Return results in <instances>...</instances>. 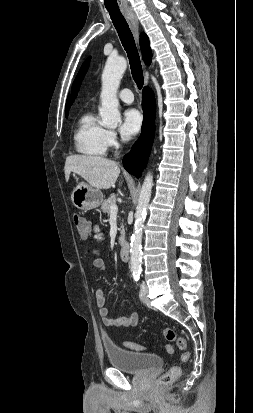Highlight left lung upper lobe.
I'll list each match as a JSON object with an SVG mask.
<instances>
[{
	"label": "left lung upper lobe",
	"mask_w": 253,
	"mask_h": 413,
	"mask_svg": "<svg viewBox=\"0 0 253 413\" xmlns=\"http://www.w3.org/2000/svg\"><path fill=\"white\" fill-rule=\"evenodd\" d=\"M88 65H89V61L86 60V61L83 63V65H82V67H81V69H80V71H79V73H78V75H77V77H76V79H75V81H74L73 88H72V96H73V99H74V98L76 97V95H77V92H78V90H79V88H80V85H81V82H82V80H83V77H84V75H85V73H86V71H87V69H88Z\"/></svg>",
	"instance_id": "obj_1"
}]
</instances>
